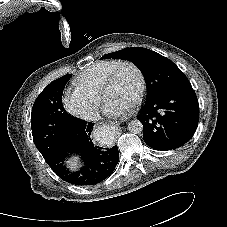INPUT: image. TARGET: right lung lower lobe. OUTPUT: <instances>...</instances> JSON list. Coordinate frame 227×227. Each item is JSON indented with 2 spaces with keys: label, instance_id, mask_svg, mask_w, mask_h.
<instances>
[{
  "label": "right lung lower lobe",
  "instance_id": "98d812e1",
  "mask_svg": "<svg viewBox=\"0 0 227 227\" xmlns=\"http://www.w3.org/2000/svg\"><path fill=\"white\" fill-rule=\"evenodd\" d=\"M94 123L73 117L63 126V131L56 135L57 142L44 156L46 163L64 181L75 185L97 184L114 171L119 161V151L102 148L93 144L90 135ZM80 155L83 166L73 172L66 168L65 161L71 155Z\"/></svg>",
  "mask_w": 227,
  "mask_h": 227
}]
</instances>
